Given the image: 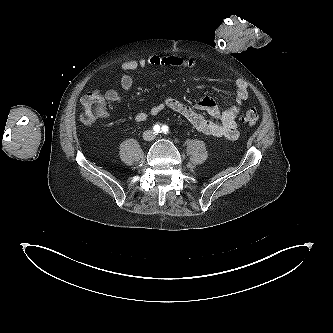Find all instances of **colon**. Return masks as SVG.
I'll list each match as a JSON object with an SVG mask.
<instances>
[{
  "label": "colon",
  "mask_w": 333,
  "mask_h": 333,
  "mask_svg": "<svg viewBox=\"0 0 333 333\" xmlns=\"http://www.w3.org/2000/svg\"><path fill=\"white\" fill-rule=\"evenodd\" d=\"M80 120L90 124L105 114V99L98 88L91 90L82 101ZM242 121L253 126L259 121V113L255 107H249L242 116Z\"/></svg>",
  "instance_id": "colon-1"
}]
</instances>
